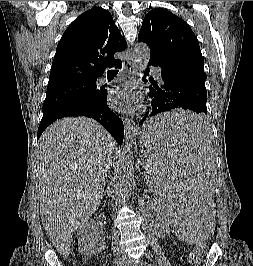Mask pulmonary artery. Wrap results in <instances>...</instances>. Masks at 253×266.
<instances>
[{
	"instance_id": "obj_1",
	"label": "pulmonary artery",
	"mask_w": 253,
	"mask_h": 266,
	"mask_svg": "<svg viewBox=\"0 0 253 266\" xmlns=\"http://www.w3.org/2000/svg\"><path fill=\"white\" fill-rule=\"evenodd\" d=\"M153 73L155 74L157 80L160 82V83H163V78H162V75H161V69L160 68H154L153 69ZM107 81V79L105 77H101L98 79V83L99 84H103Z\"/></svg>"
}]
</instances>
